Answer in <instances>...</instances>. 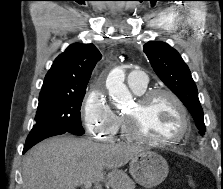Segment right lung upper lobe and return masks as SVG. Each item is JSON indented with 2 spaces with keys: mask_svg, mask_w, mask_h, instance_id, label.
I'll return each mask as SVG.
<instances>
[{
  "mask_svg": "<svg viewBox=\"0 0 223 189\" xmlns=\"http://www.w3.org/2000/svg\"><path fill=\"white\" fill-rule=\"evenodd\" d=\"M101 57L94 44L70 45L53 62L45 76L40 94L87 88L92 70Z\"/></svg>",
  "mask_w": 223,
  "mask_h": 189,
  "instance_id": "cb5924a9",
  "label": "right lung upper lobe"
}]
</instances>
